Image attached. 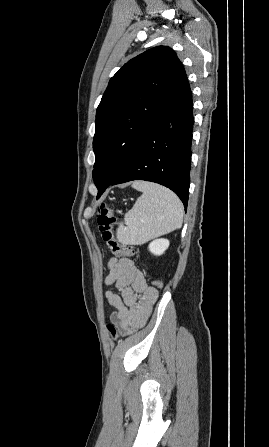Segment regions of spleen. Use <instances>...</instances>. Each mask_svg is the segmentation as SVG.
Instances as JSON below:
<instances>
[{
  "instance_id": "spleen-1",
  "label": "spleen",
  "mask_w": 269,
  "mask_h": 447,
  "mask_svg": "<svg viewBox=\"0 0 269 447\" xmlns=\"http://www.w3.org/2000/svg\"><path fill=\"white\" fill-rule=\"evenodd\" d=\"M132 188L143 192L132 210L119 224L117 239L124 245H142L149 239L179 229L183 222V206L176 194L152 182L136 180Z\"/></svg>"
}]
</instances>
